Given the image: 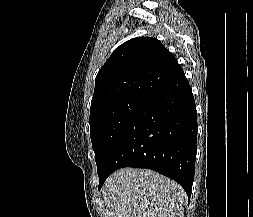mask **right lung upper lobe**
Segmentation results:
<instances>
[{
  "label": "right lung upper lobe",
  "instance_id": "cb5924a9",
  "mask_svg": "<svg viewBox=\"0 0 253 217\" xmlns=\"http://www.w3.org/2000/svg\"><path fill=\"white\" fill-rule=\"evenodd\" d=\"M182 73L176 58L159 40L133 38L120 45L98 72L90 116L126 98L150 100Z\"/></svg>",
  "mask_w": 253,
  "mask_h": 217
}]
</instances>
